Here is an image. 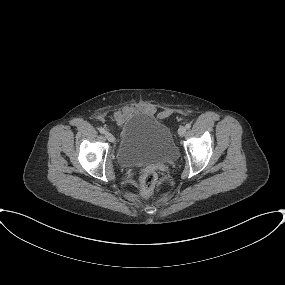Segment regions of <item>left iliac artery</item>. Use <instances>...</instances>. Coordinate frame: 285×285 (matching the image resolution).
<instances>
[{
    "instance_id": "left-iliac-artery-1",
    "label": "left iliac artery",
    "mask_w": 285,
    "mask_h": 285,
    "mask_svg": "<svg viewBox=\"0 0 285 285\" xmlns=\"http://www.w3.org/2000/svg\"><path fill=\"white\" fill-rule=\"evenodd\" d=\"M187 129H189L191 127V124L190 123H187L186 126H185Z\"/></svg>"
}]
</instances>
